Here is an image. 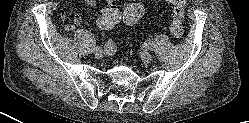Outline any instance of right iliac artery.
<instances>
[{"mask_svg": "<svg viewBox=\"0 0 249 123\" xmlns=\"http://www.w3.org/2000/svg\"><path fill=\"white\" fill-rule=\"evenodd\" d=\"M104 48H105L106 50L111 49V48H112V42H111L110 40L107 41V42L104 44Z\"/></svg>", "mask_w": 249, "mask_h": 123, "instance_id": "right-iliac-artery-1", "label": "right iliac artery"}]
</instances>
